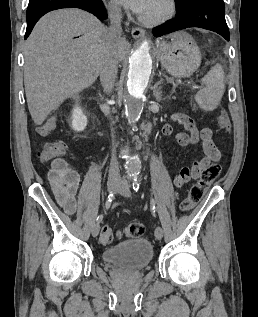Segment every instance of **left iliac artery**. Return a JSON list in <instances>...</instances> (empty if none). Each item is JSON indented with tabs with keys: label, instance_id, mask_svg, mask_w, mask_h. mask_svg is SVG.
I'll return each mask as SVG.
<instances>
[{
	"label": "left iliac artery",
	"instance_id": "44dca946",
	"mask_svg": "<svg viewBox=\"0 0 258 317\" xmlns=\"http://www.w3.org/2000/svg\"><path fill=\"white\" fill-rule=\"evenodd\" d=\"M132 188L135 192H138L139 190V183L137 178H134L133 183H132ZM150 207H151V213L153 215L154 218H156V203L155 200L153 198H151L150 200Z\"/></svg>",
	"mask_w": 258,
	"mask_h": 317
}]
</instances>
